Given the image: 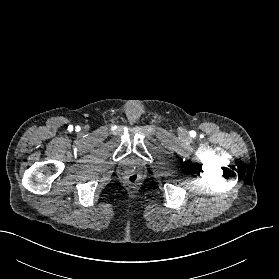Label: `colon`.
Masks as SVG:
<instances>
[{"instance_id": "5ec220e1", "label": "colon", "mask_w": 279, "mask_h": 279, "mask_svg": "<svg viewBox=\"0 0 279 279\" xmlns=\"http://www.w3.org/2000/svg\"><path fill=\"white\" fill-rule=\"evenodd\" d=\"M138 180H139V177L135 173H132V174L127 176V182L131 185L136 184L138 182Z\"/></svg>"}]
</instances>
